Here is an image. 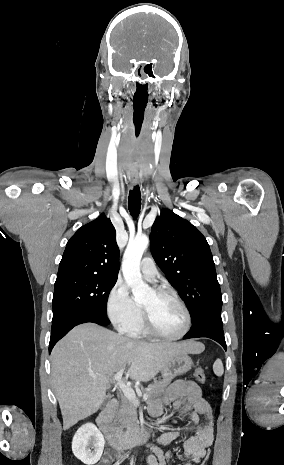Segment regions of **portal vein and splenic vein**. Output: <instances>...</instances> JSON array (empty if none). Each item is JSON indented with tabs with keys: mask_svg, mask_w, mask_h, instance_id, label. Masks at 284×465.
Wrapping results in <instances>:
<instances>
[{
	"mask_svg": "<svg viewBox=\"0 0 284 465\" xmlns=\"http://www.w3.org/2000/svg\"><path fill=\"white\" fill-rule=\"evenodd\" d=\"M124 371L125 369H121V371H118L116 375H113V379L114 381H116L119 389L123 391L124 397H126V399L130 401V403H133L135 407H138V405H140V401L139 399H137L135 391H133L131 387H128V385H125V383H123L122 381V375ZM89 377H93V379H98L97 375H89ZM148 397L149 395H143V401H147Z\"/></svg>",
	"mask_w": 284,
	"mask_h": 465,
	"instance_id": "18ae733b",
	"label": "portal vein and splenic vein"
}]
</instances>
